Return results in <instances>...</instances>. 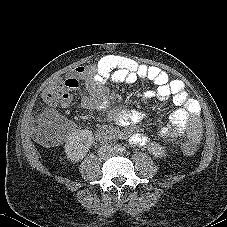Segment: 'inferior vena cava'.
Segmentation results:
<instances>
[{
	"instance_id": "obj_1",
	"label": "inferior vena cava",
	"mask_w": 227,
	"mask_h": 227,
	"mask_svg": "<svg viewBox=\"0 0 227 227\" xmlns=\"http://www.w3.org/2000/svg\"><path fill=\"white\" fill-rule=\"evenodd\" d=\"M109 147L108 146H103L99 149V154L102 156L104 155L105 150H107ZM110 149V148H109Z\"/></svg>"
}]
</instances>
